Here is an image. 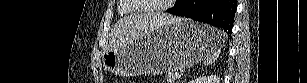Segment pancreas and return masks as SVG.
<instances>
[{"label": "pancreas", "mask_w": 307, "mask_h": 83, "mask_svg": "<svg viewBox=\"0 0 307 83\" xmlns=\"http://www.w3.org/2000/svg\"><path fill=\"white\" fill-rule=\"evenodd\" d=\"M176 80L175 74L170 72L166 75V82L167 83H174Z\"/></svg>", "instance_id": "pancreas-1"}]
</instances>
